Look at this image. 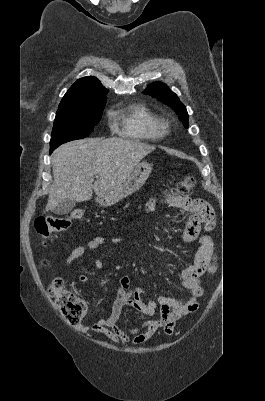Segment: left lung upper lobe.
Wrapping results in <instances>:
<instances>
[{"label":"left lung upper lobe","instance_id":"1","mask_svg":"<svg viewBox=\"0 0 265 401\" xmlns=\"http://www.w3.org/2000/svg\"><path fill=\"white\" fill-rule=\"evenodd\" d=\"M144 94L155 97L159 101L174 109L184 126L188 128V113L186 111V107L180 102L177 95L173 93L166 84L160 82L152 83L145 89Z\"/></svg>","mask_w":265,"mask_h":401}]
</instances>
